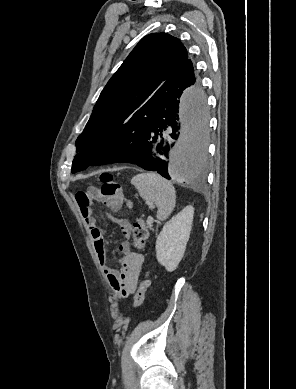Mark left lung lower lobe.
Listing matches in <instances>:
<instances>
[{"label":"left lung lower lobe","instance_id":"0a47b994","mask_svg":"<svg viewBox=\"0 0 296 389\" xmlns=\"http://www.w3.org/2000/svg\"><path fill=\"white\" fill-rule=\"evenodd\" d=\"M187 88L191 95L193 122L187 129V140L193 160L192 178L201 174L206 160V101L199 81L191 73L168 79L153 95L151 103L140 108L117 128L99 148L98 165L132 163L159 173H167L168 151L179 137L181 121L179 98ZM170 130L169 137L163 134Z\"/></svg>","mask_w":296,"mask_h":389}]
</instances>
